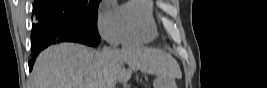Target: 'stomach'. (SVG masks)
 Instances as JSON below:
<instances>
[{"mask_svg": "<svg viewBox=\"0 0 267 88\" xmlns=\"http://www.w3.org/2000/svg\"><path fill=\"white\" fill-rule=\"evenodd\" d=\"M153 86L154 88H176L174 80L164 75H157L153 81Z\"/></svg>", "mask_w": 267, "mask_h": 88, "instance_id": "obj_1", "label": "stomach"}]
</instances>
